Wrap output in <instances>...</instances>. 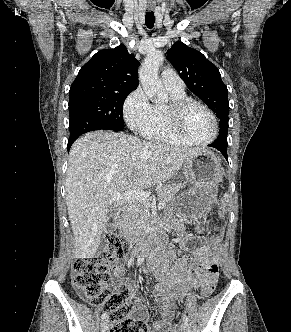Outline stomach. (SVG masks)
Listing matches in <instances>:
<instances>
[{"label": "stomach", "instance_id": "obj_1", "mask_svg": "<svg viewBox=\"0 0 291 332\" xmlns=\"http://www.w3.org/2000/svg\"><path fill=\"white\" fill-rule=\"evenodd\" d=\"M183 170L193 187L181 199L195 214H200L209 209L216 198L223 176L221 165L212 151L203 149L184 162Z\"/></svg>", "mask_w": 291, "mask_h": 332}]
</instances>
